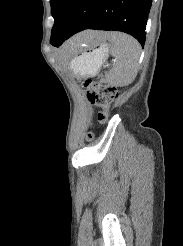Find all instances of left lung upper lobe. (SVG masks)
<instances>
[{"instance_id": "obj_1", "label": "left lung upper lobe", "mask_w": 183, "mask_h": 246, "mask_svg": "<svg viewBox=\"0 0 183 246\" xmlns=\"http://www.w3.org/2000/svg\"><path fill=\"white\" fill-rule=\"evenodd\" d=\"M78 0H50L51 14L54 18L51 38H53L66 22Z\"/></svg>"}]
</instances>
